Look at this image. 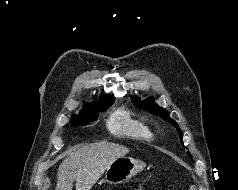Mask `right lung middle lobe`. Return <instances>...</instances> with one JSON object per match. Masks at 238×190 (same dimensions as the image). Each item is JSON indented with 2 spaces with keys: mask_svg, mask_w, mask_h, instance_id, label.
<instances>
[{
  "mask_svg": "<svg viewBox=\"0 0 238 190\" xmlns=\"http://www.w3.org/2000/svg\"><path fill=\"white\" fill-rule=\"evenodd\" d=\"M111 104H113V97H107L104 101H98L89 103L79 115H74L71 119V124L78 127L83 124H89L98 117V111L106 110Z\"/></svg>",
  "mask_w": 238,
  "mask_h": 190,
  "instance_id": "dd1d6c3e",
  "label": "right lung middle lobe"
}]
</instances>
